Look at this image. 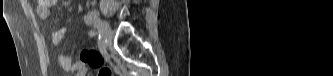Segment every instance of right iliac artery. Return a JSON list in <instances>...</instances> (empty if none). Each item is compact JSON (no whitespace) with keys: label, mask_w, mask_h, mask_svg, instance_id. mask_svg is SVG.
I'll return each mask as SVG.
<instances>
[{"label":"right iliac artery","mask_w":333,"mask_h":76,"mask_svg":"<svg viewBox=\"0 0 333 76\" xmlns=\"http://www.w3.org/2000/svg\"><path fill=\"white\" fill-rule=\"evenodd\" d=\"M88 17L90 18V20L94 23L97 32H98V45L101 48L104 44V40L102 37V30H101V21L100 19L97 17V15L93 12H89L88 13Z\"/></svg>","instance_id":"right-iliac-artery-1"}]
</instances>
